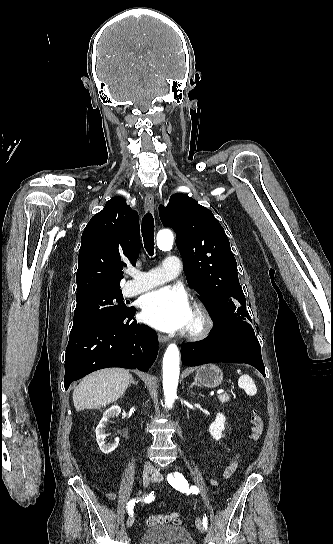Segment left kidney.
I'll return each mask as SVG.
<instances>
[{
    "label": "left kidney",
    "mask_w": 333,
    "mask_h": 544,
    "mask_svg": "<svg viewBox=\"0 0 333 544\" xmlns=\"http://www.w3.org/2000/svg\"><path fill=\"white\" fill-rule=\"evenodd\" d=\"M225 421V416L222 413H218L215 421L209 426L210 435L216 441H219L222 437H224L222 432L225 430Z\"/></svg>",
    "instance_id": "obj_1"
}]
</instances>
